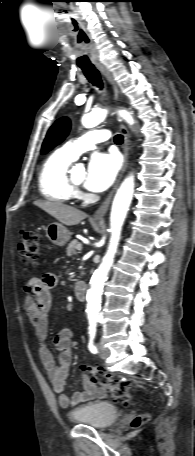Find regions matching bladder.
<instances>
[{
	"instance_id": "31cf9c89",
	"label": "bladder",
	"mask_w": 195,
	"mask_h": 456,
	"mask_svg": "<svg viewBox=\"0 0 195 456\" xmlns=\"http://www.w3.org/2000/svg\"><path fill=\"white\" fill-rule=\"evenodd\" d=\"M118 408L110 402L99 401L78 407L69 413L71 421L96 429L111 426L118 418Z\"/></svg>"
}]
</instances>
